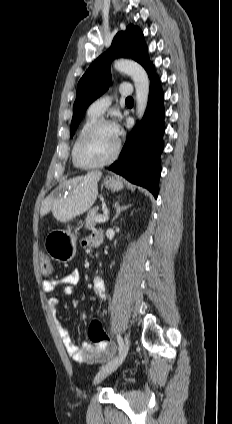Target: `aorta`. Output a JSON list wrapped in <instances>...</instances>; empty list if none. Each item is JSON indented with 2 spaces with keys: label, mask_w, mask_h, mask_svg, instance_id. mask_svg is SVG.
<instances>
[{
  "label": "aorta",
  "mask_w": 232,
  "mask_h": 424,
  "mask_svg": "<svg viewBox=\"0 0 232 424\" xmlns=\"http://www.w3.org/2000/svg\"><path fill=\"white\" fill-rule=\"evenodd\" d=\"M114 68L132 78L136 90V114L141 119L147 108L149 96V79L146 71L140 64L125 59L117 60Z\"/></svg>",
  "instance_id": "762f6f07"
}]
</instances>
